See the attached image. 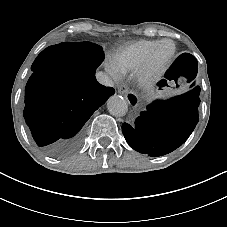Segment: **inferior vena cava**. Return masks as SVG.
<instances>
[{"instance_id": "602c4592", "label": "inferior vena cava", "mask_w": 227, "mask_h": 227, "mask_svg": "<svg viewBox=\"0 0 227 227\" xmlns=\"http://www.w3.org/2000/svg\"><path fill=\"white\" fill-rule=\"evenodd\" d=\"M96 79L99 83L105 85V86H113L114 83L112 79L104 72H97L96 73Z\"/></svg>"}]
</instances>
